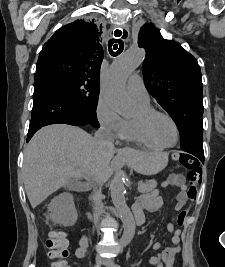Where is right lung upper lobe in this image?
<instances>
[{
  "label": "right lung upper lobe",
  "instance_id": "obj_1",
  "mask_svg": "<svg viewBox=\"0 0 225 267\" xmlns=\"http://www.w3.org/2000/svg\"><path fill=\"white\" fill-rule=\"evenodd\" d=\"M94 22L76 20L58 29L44 44L36 74H64L99 85L103 49Z\"/></svg>",
  "mask_w": 225,
  "mask_h": 267
}]
</instances>
